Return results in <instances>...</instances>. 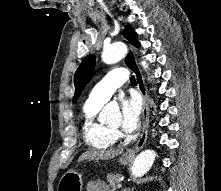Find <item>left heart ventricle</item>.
Masks as SVG:
<instances>
[{"label": "left heart ventricle", "mask_w": 221, "mask_h": 191, "mask_svg": "<svg viewBox=\"0 0 221 191\" xmlns=\"http://www.w3.org/2000/svg\"><path fill=\"white\" fill-rule=\"evenodd\" d=\"M120 123V116L117 115L109 124L111 127H118Z\"/></svg>", "instance_id": "left-heart-ventricle-1"}]
</instances>
